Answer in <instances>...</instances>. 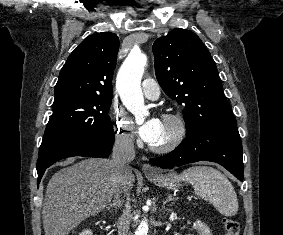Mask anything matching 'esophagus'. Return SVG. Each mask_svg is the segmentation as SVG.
Here are the masks:
<instances>
[{
  "label": "esophagus",
  "instance_id": "esophagus-1",
  "mask_svg": "<svg viewBox=\"0 0 283 235\" xmlns=\"http://www.w3.org/2000/svg\"><path fill=\"white\" fill-rule=\"evenodd\" d=\"M142 171L144 174H154L155 170L149 163H144L142 166Z\"/></svg>",
  "mask_w": 283,
  "mask_h": 235
}]
</instances>
